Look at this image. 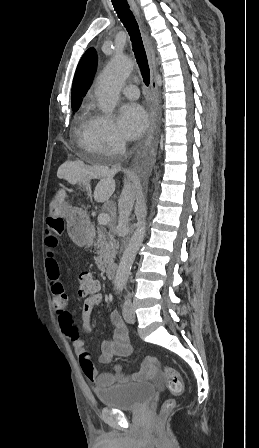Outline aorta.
<instances>
[{"label":"aorta","instance_id":"aorta-1","mask_svg":"<svg viewBox=\"0 0 259 448\" xmlns=\"http://www.w3.org/2000/svg\"><path fill=\"white\" fill-rule=\"evenodd\" d=\"M133 69L132 60L125 55L115 56L100 74L95 91L100 109L110 114L117 105L120 90ZM146 232V222L140 221L134 231L119 263L114 283L122 290L130 274L138 249L142 245Z\"/></svg>","mask_w":259,"mask_h":448}]
</instances>
